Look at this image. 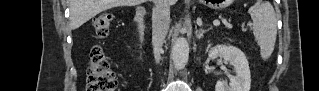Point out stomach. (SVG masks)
I'll return each mask as SVG.
<instances>
[{"mask_svg": "<svg viewBox=\"0 0 319 91\" xmlns=\"http://www.w3.org/2000/svg\"><path fill=\"white\" fill-rule=\"evenodd\" d=\"M210 7L212 8H223L224 7V2L223 1H212V3H208Z\"/></svg>", "mask_w": 319, "mask_h": 91, "instance_id": "1", "label": "stomach"}]
</instances>
